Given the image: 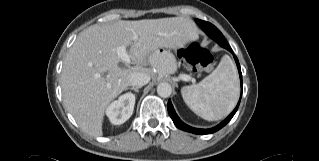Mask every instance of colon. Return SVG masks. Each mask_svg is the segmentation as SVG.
<instances>
[{"mask_svg":"<svg viewBox=\"0 0 319 161\" xmlns=\"http://www.w3.org/2000/svg\"><path fill=\"white\" fill-rule=\"evenodd\" d=\"M178 56L189 72L207 69L213 63V57L210 52L197 42H192L188 46L180 48Z\"/></svg>","mask_w":319,"mask_h":161,"instance_id":"5ec220e1","label":"colon"}]
</instances>
